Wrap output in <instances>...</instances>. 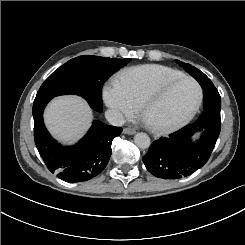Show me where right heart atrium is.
Listing matches in <instances>:
<instances>
[{
  "label": "right heart atrium",
  "instance_id": "obj_1",
  "mask_svg": "<svg viewBox=\"0 0 245 245\" xmlns=\"http://www.w3.org/2000/svg\"><path fill=\"white\" fill-rule=\"evenodd\" d=\"M104 98L106 104L115 112L117 117L131 119L134 116L136 106L122 90L114 86H108L105 89Z\"/></svg>",
  "mask_w": 245,
  "mask_h": 245
}]
</instances>
